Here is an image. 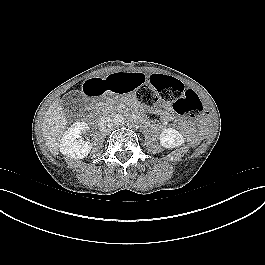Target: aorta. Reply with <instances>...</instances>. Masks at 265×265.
I'll return each mask as SVG.
<instances>
[{
	"instance_id": "1",
	"label": "aorta",
	"mask_w": 265,
	"mask_h": 265,
	"mask_svg": "<svg viewBox=\"0 0 265 265\" xmlns=\"http://www.w3.org/2000/svg\"><path fill=\"white\" fill-rule=\"evenodd\" d=\"M112 120L115 125H122L125 122V118L122 114H115Z\"/></svg>"
}]
</instances>
